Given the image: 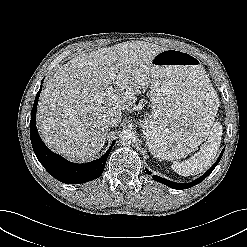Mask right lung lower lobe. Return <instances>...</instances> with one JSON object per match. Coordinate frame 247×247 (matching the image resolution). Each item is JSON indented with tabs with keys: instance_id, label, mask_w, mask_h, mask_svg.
I'll use <instances>...</instances> for the list:
<instances>
[{
	"instance_id": "right-lung-lower-lobe-1",
	"label": "right lung lower lobe",
	"mask_w": 247,
	"mask_h": 247,
	"mask_svg": "<svg viewBox=\"0 0 247 247\" xmlns=\"http://www.w3.org/2000/svg\"><path fill=\"white\" fill-rule=\"evenodd\" d=\"M41 90L42 85L36 95L31 111L30 121L31 143L39 162L44 166L50 175L66 184L85 183L99 177L103 173L107 158L114 145V141L111 147L101 158L85 164H77L66 161L61 156L50 151L41 140L35 123L36 108Z\"/></svg>"
}]
</instances>
